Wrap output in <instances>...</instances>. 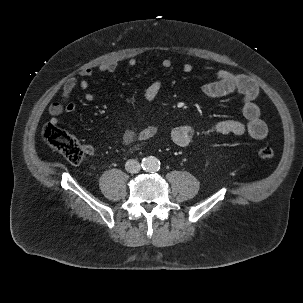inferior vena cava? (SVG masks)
Here are the masks:
<instances>
[{
    "instance_id": "1",
    "label": "inferior vena cava",
    "mask_w": 303,
    "mask_h": 303,
    "mask_svg": "<svg viewBox=\"0 0 303 303\" xmlns=\"http://www.w3.org/2000/svg\"><path fill=\"white\" fill-rule=\"evenodd\" d=\"M140 168V163L135 159H130L125 164V169L129 173H138Z\"/></svg>"
}]
</instances>
